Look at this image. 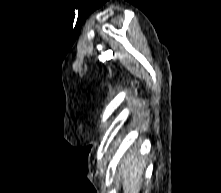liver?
<instances>
[{
	"label": "liver",
	"mask_w": 221,
	"mask_h": 193,
	"mask_svg": "<svg viewBox=\"0 0 221 193\" xmlns=\"http://www.w3.org/2000/svg\"><path fill=\"white\" fill-rule=\"evenodd\" d=\"M145 168V159L137 153H128L121 164L123 193H139Z\"/></svg>",
	"instance_id": "liver-1"
}]
</instances>
